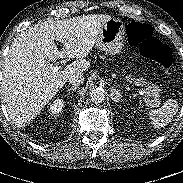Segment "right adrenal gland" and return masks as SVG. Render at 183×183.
Segmentation results:
<instances>
[{"mask_svg": "<svg viewBox=\"0 0 183 183\" xmlns=\"http://www.w3.org/2000/svg\"><path fill=\"white\" fill-rule=\"evenodd\" d=\"M77 88H78L77 86H72L71 88L68 89V92L70 91L75 92Z\"/></svg>", "mask_w": 183, "mask_h": 183, "instance_id": "right-adrenal-gland-1", "label": "right adrenal gland"}]
</instances>
